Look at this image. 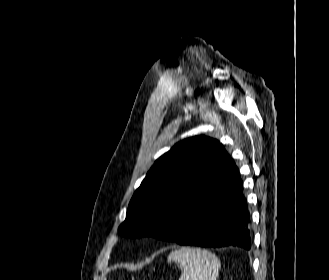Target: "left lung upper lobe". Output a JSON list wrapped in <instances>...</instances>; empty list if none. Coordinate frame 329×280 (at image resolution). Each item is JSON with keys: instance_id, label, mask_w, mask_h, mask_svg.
<instances>
[{"instance_id": "1", "label": "left lung upper lobe", "mask_w": 329, "mask_h": 280, "mask_svg": "<svg viewBox=\"0 0 329 280\" xmlns=\"http://www.w3.org/2000/svg\"><path fill=\"white\" fill-rule=\"evenodd\" d=\"M232 163L215 139L198 136L177 143L155 162L135 191L119 234L160 238L203 194L220 187Z\"/></svg>"}]
</instances>
